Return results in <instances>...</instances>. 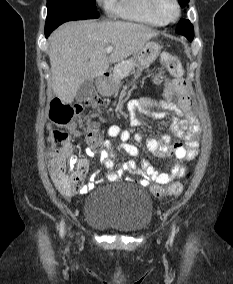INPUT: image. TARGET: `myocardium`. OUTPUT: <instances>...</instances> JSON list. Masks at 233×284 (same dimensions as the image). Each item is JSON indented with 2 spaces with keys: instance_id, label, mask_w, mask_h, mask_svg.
<instances>
[{
  "instance_id": "obj_1",
  "label": "myocardium",
  "mask_w": 233,
  "mask_h": 284,
  "mask_svg": "<svg viewBox=\"0 0 233 284\" xmlns=\"http://www.w3.org/2000/svg\"><path fill=\"white\" fill-rule=\"evenodd\" d=\"M175 7V14L172 18L166 19L161 12V4L163 0H152L151 9L155 17L163 24H171L178 20L181 14V6L178 0H168Z\"/></svg>"
}]
</instances>
